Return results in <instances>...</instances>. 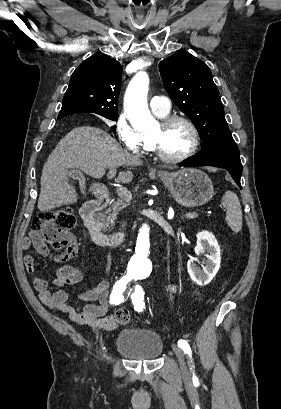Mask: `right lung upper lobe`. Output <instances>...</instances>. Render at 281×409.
<instances>
[{"instance_id":"cb5924a9","label":"right lung upper lobe","mask_w":281,"mask_h":409,"mask_svg":"<svg viewBox=\"0 0 281 409\" xmlns=\"http://www.w3.org/2000/svg\"><path fill=\"white\" fill-rule=\"evenodd\" d=\"M122 67L101 52L73 72L58 119L74 113L118 114Z\"/></svg>"}]
</instances>
